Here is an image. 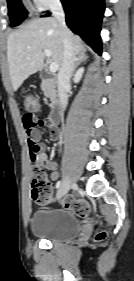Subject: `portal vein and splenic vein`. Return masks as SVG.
Masks as SVG:
<instances>
[{
	"mask_svg": "<svg viewBox=\"0 0 134 281\" xmlns=\"http://www.w3.org/2000/svg\"><path fill=\"white\" fill-rule=\"evenodd\" d=\"M44 53H45V55H46L47 57H51V56H52V52H51L50 50H48V49H45V50H44ZM49 69H50V71H51L52 73L56 72V71L58 70V64L55 63V62H51V63H50Z\"/></svg>",
	"mask_w": 134,
	"mask_h": 281,
	"instance_id": "1",
	"label": "portal vein and splenic vein"
}]
</instances>
